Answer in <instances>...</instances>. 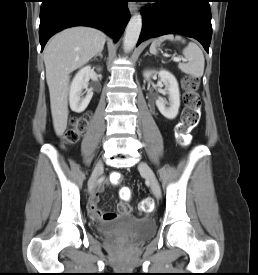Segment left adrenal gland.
<instances>
[{"instance_id":"a2214340","label":"left adrenal gland","mask_w":258,"mask_h":275,"mask_svg":"<svg viewBox=\"0 0 258 275\" xmlns=\"http://www.w3.org/2000/svg\"><path fill=\"white\" fill-rule=\"evenodd\" d=\"M146 55H149V53H148V52H146V53H145V56H146Z\"/></svg>"}]
</instances>
